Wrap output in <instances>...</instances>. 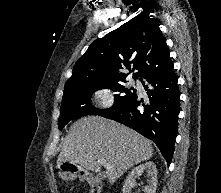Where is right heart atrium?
Wrapping results in <instances>:
<instances>
[{"label":"right heart atrium","mask_w":221,"mask_h":193,"mask_svg":"<svg viewBox=\"0 0 221 193\" xmlns=\"http://www.w3.org/2000/svg\"><path fill=\"white\" fill-rule=\"evenodd\" d=\"M91 99L97 107L102 110H109L116 104V97L110 87L102 86L91 92Z\"/></svg>","instance_id":"obj_1"}]
</instances>
